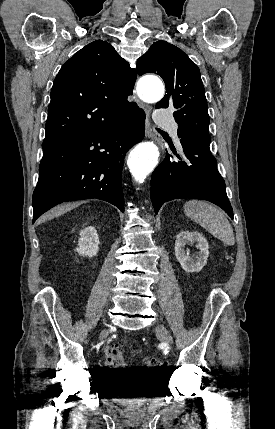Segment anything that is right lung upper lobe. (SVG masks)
Wrapping results in <instances>:
<instances>
[{"label": "right lung upper lobe", "mask_w": 275, "mask_h": 429, "mask_svg": "<svg viewBox=\"0 0 275 429\" xmlns=\"http://www.w3.org/2000/svg\"><path fill=\"white\" fill-rule=\"evenodd\" d=\"M136 71L106 41L96 40L61 67L51 90L43 149L126 118Z\"/></svg>", "instance_id": "1"}]
</instances>
